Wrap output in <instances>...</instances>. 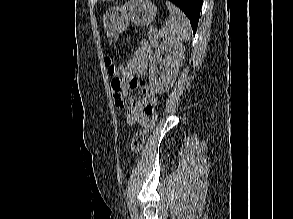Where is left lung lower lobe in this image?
<instances>
[{
    "mask_svg": "<svg viewBox=\"0 0 293 219\" xmlns=\"http://www.w3.org/2000/svg\"><path fill=\"white\" fill-rule=\"evenodd\" d=\"M177 5L189 18L193 33H196L203 0H169Z\"/></svg>",
    "mask_w": 293,
    "mask_h": 219,
    "instance_id": "0a47b994",
    "label": "left lung lower lobe"
}]
</instances>
